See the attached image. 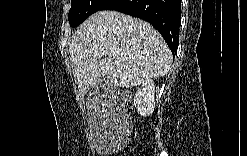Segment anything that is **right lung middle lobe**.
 Here are the masks:
<instances>
[{
	"mask_svg": "<svg viewBox=\"0 0 247 156\" xmlns=\"http://www.w3.org/2000/svg\"><path fill=\"white\" fill-rule=\"evenodd\" d=\"M108 0H71L68 19L72 27L80 25L87 17L99 11Z\"/></svg>",
	"mask_w": 247,
	"mask_h": 156,
	"instance_id": "obj_1",
	"label": "right lung middle lobe"
}]
</instances>
